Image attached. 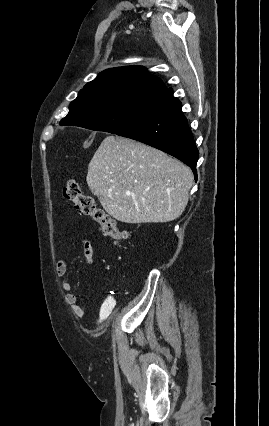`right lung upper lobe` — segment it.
Instances as JSON below:
<instances>
[{
  "instance_id": "obj_1",
  "label": "right lung upper lobe",
  "mask_w": 269,
  "mask_h": 426,
  "mask_svg": "<svg viewBox=\"0 0 269 426\" xmlns=\"http://www.w3.org/2000/svg\"><path fill=\"white\" fill-rule=\"evenodd\" d=\"M167 88L162 81L151 75L142 66L118 67L103 71L89 82L79 94L88 95L97 92L147 91L163 93Z\"/></svg>"
}]
</instances>
